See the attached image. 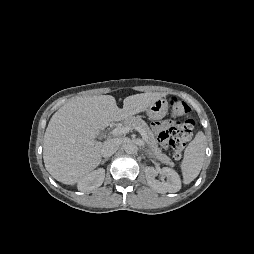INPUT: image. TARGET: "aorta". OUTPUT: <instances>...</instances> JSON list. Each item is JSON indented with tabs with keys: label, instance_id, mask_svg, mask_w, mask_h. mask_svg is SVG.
I'll return each instance as SVG.
<instances>
[{
	"label": "aorta",
	"instance_id": "obj_1",
	"mask_svg": "<svg viewBox=\"0 0 254 254\" xmlns=\"http://www.w3.org/2000/svg\"><path fill=\"white\" fill-rule=\"evenodd\" d=\"M125 152L127 153V154H134L135 152H136V146L134 145V144H132V143H129V144H126L125 145Z\"/></svg>",
	"mask_w": 254,
	"mask_h": 254
}]
</instances>
